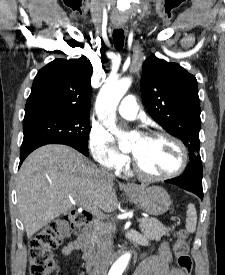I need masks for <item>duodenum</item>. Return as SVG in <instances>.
I'll return each instance as SVG.
<instances>
[{
  "instance_id": "duodenum-1",
  "label": "duodenum",
  "mask_w": 225,
  "mask_h": 275,
  "mask_svg": "<svg viewBox=\"0 0 225 275\" xmlns=\"http://www.w3.org/2000/svg\"><path fill=\"white\" fill-rule=\"evenodd\" d=\"M94 232L92 216L79 230L77 237L78 252L85 263L88 270H92L95 266L96 255L93 250L91 237Z\"/></svg>"
}]
</instances>
